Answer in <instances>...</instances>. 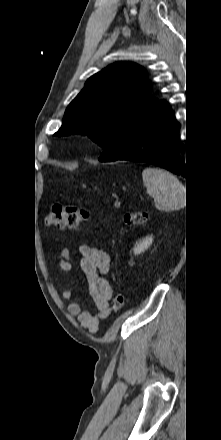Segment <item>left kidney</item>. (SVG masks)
I'll list each match as a JSON object with an SVG mask.
<instances>
[{"mask_svg": "<svg viewBox=\"0 0 221 440\" xmlns=\"http://www.w3.org/2000/svg\"><path fill=\"white\" fill-rule=\"evenodd\" d=\"M152 242H153V237L152 236L144 238L142 241H140L139 243H137L135 245V247L133 249L134 250V254L135 255L141 254L142 252H144L145 250H147L150 247Z\"/></svg>", "mask_w": 221, "mask_h": 440, "instance_id": "1", "label": "left kidney"}]
</instances>
